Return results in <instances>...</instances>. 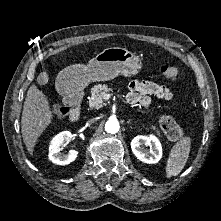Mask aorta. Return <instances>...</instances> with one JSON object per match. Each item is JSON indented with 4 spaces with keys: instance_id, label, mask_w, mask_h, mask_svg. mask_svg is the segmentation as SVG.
Here are the masks:
<instances>
[{
    "instance_id": "1",
    "label": "aorta",
    "mask_w": 221,
    "mask_h": 221,
    "mask_svg": "<svg viewBox=\"0 0 221 221\" xmlns=\"http://www.w3.org/2000/svg\"><path fill=\"white\" fill-rule=\"evenodd\" d=\"M119 122L115 118H109V120L105 123V131L110 134H115L119 131Z\"/></svg>"
}]
</instances>
